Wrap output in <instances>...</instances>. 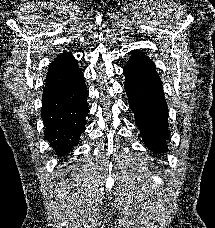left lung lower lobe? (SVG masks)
Wrapping results in <instances>:
<instances>
[{"label":"left lung lower lobe","mask_w":215,"mask_h":228,"mask_svg":"<svg viewBox=\"0 0 215 228\" xmlns=\"http://www.w3.org/2000/svg\"><path fill=\"white\" fill-rule=\"evenodd\" d=\"M125 90L141 137L154 153L167 152L168 107L154 63L138 50L124 67Z\"/></svg>","instance_id":"left-lung-lower-lobe-1"}]
</instances>
